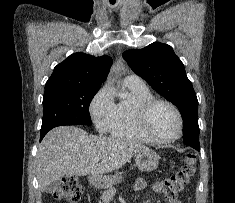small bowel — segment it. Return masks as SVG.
<instances>
[{
	"label": "small bowel",
	"mask_w": 235,
	"mask_h": 203,
	"mask_svg": "<svg viewBox=\"0 0 235 203\" xmlns=\"http://www.w3.org/2000/svg\"><path fill=\"white\" fill-rule=\"evenodd\" d=\"M146 187V181L144 179H137L136 183H135V189L136 190H142ZM172 203H181L179 201H172Z\"/></svg>",
	"instance_id": "small-bowel-1"
}]
</instances>
